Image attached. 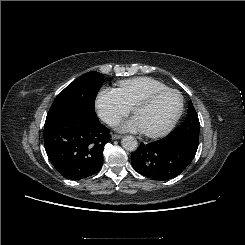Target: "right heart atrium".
Returning <instances> with one entry per match:
<instances>
[{"label":"right heart atrium","instance_id":"right-heart-atrium-1","mask_svg":"<svg viewBox=\"0 0 245 245\" xmlns=\"http://www.w3.org/2000/svg\"><path fill=\"white\" fill-rule=\"evenodd\" d=\"M95 108L99 117L108 125L116 124L130 112V108L123 102L117 90L108 87H103L98 92Z\"/></svg>","mask_w":245,"mask_h":245}]
</instances>
